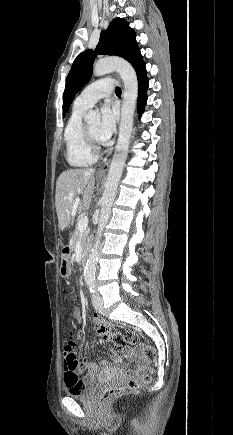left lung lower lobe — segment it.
<instances>
[{"label": "left lung lower lobe", "mask_w": 233, "mask_h": 435, "mask_svg": "<svg viewBox=\"0 0 233 435\" xmlns=\"http://www.w3.org/2000/svg\"><path fill=\"white\" fill-rule=\"evenodd\" d=\"M138 78V114L139 117L144 111L145 104L147 102V89H148V78L146 66L143 65L136 70Z\"/></svg>", "instance_id": "0a47b994"}]
</instances>
